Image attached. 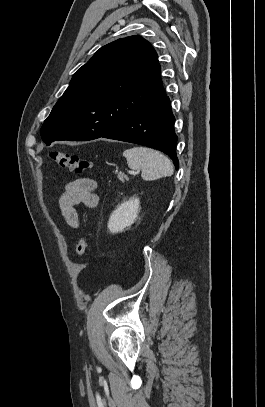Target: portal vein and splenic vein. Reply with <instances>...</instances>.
Here are the masks:
<instances>
[{
	"mask_svg": "<svg viewBox=\"0 0 265 407\" xmlns=\"http://www.w3.org/2000/svg\"><path fill=\"white\" fill-rule=\"evenodd\" d=\"M130 174H135V172H132V171H131Z\"/></svg>",
	"mask_w": 265,
	"mask_h": 407,
	"instance_id": "18ae733b",
	"label": "portal vein and splenic vein"
}]
</instances>
